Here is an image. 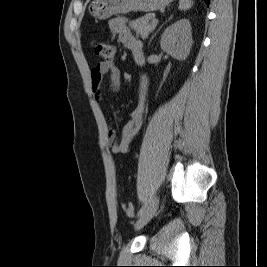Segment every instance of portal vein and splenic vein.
Masks as SVG:
<instances>
[{"mask_svg": "<svg viewBox=\"0 0 267 267\" xmlns=\"http://www.w3.org/2000/svg\"><path fill=\"white\" fill-rule=\"evenodd\" d=\"M151 23L156 25L158 23V19L157 18L152 19Z\"/></svg>", "mask_w": 267, "mask_h": 267, "instance_id": "1", "label": "portal vein and splenic vein"}]
</instances>
